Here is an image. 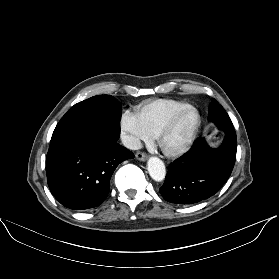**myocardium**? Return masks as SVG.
Returning a JSON list of instances; mask_svg holds the SVG:
<instances>
[{
  "label": "myocardium",
  "instance_id": "myocardium-1",
  "mask_svg": "<svg viewBox=\"0 0 279 279\" xmlns=\"http://www.w3.org/2000/svg\"><path fill=\"white\" fill-rule=\"evenodd\" d=\"M188 112H194L196 115V123L189 132L186 140L184 143L176 148V149H168L164 146V140L167 137V135L172 131L175 124L179 121V119L184 116ZM201 126V115L199 111L194 106H188L185 107L177 112H175L163 125V127L159 130V132L156 135V141L157 145L160 148V150L168 157H179L183 154H185L191 147L199 129Z\"/></svg>",
  "mask_w": 279,
  "mask_h": 279
}]
</instances>
